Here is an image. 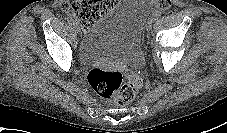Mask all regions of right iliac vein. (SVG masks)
<instances>
[{
  "mask_svg": "<svg viewBox=\"0 0 227 133\" xmlns=\"http://www.w3.org/2000/svg\"><path fill=\"white\" fill-rule=\"evenodd\" d=\"M74 25H75V29H76L77 33L78 34H81V28H80V26L77 23H75Z\"/></svg>",
  "mask_w": 227,
  "mask_h": 133,
  "instance_id": "1",
  "label": "right iliac vein"
}]
</instances>
